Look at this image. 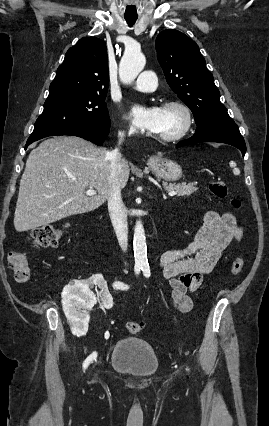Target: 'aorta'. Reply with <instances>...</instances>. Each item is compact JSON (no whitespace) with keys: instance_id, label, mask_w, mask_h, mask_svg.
<instances>
[{"instance_id":"1","label":"aorta","mask_w":269,"mask_h":426,"mask_svg":"<svg viewBox=\"0 0 269 426\" xmlns=\"http://www.w3.org/2000/svg\"><path fill=\"white\" fill-rule=\"evenodd\" d=\"M146 64L144 55L139 51H126L119 65V76L123 83H131L143 70ZM133 249L135 263H147L146 237L141 221H137L134 229Z\"/></svg>"}]
</instances>
